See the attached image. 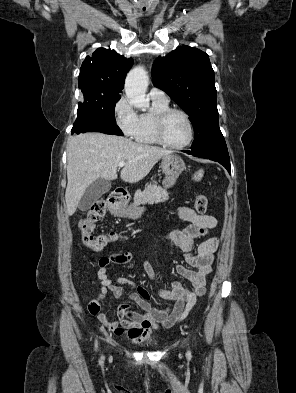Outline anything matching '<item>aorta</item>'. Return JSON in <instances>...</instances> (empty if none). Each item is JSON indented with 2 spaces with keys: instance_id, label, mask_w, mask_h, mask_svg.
<instances>
[{
  "instance_id": "obj_1",
  "label": "aorta",
  "mask_w": 296,
  "mask_h": 393,
  "mask_svg": "<svg viewBox=\"0 0 296 393\" xmlns=\"http://www.w3.org/2000/svg\"><path fill=\"white\" fill-rule=\"evenodd\" d=\"M148 82L149 78L143 66H137L127 74L126 97L136 108L147 109L149 107V101L146 99Z\"/></svg>"
}]
</instances>
